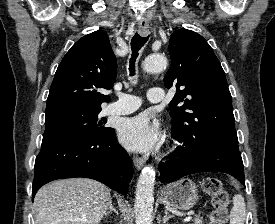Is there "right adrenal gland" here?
Masks as SVG:
<instances>
[{
  "label": "right adrenal gland",
  "instance_id": "2a0ac1e0",
  "mask_svg": "<svg viewBox=\"0 0 275 224\" xmlns=\"http://www.w3.org/2000/svg\"><path fill=\"white\" fill-rule=\"evenodd\" d=\"M112 212H114V213H116L118 215V211L114 208L113 204L111 203L109 205L108 211L105 212V215L107 216V215L111 214Z\"/></svg>",
  "mask_w": 275,
  "mask_h": 224
}]
</instances>
